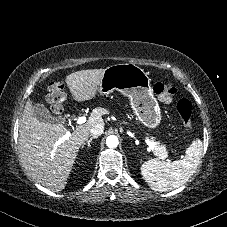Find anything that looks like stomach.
<instances>
[{"label":"stomach","instance_id":"stomach-1","mask_svg":"<svg viewBox=\"0 0 227 227\" xmlns=\"http://www.w3.org/2000/svg\"><path fill=\"white\" fill-rule=\"evenodd\" d=\"M148 73L133 63L107 67L101 78L99 93L108 95L114 90L129 97L138 120L148 128H156L161 122V110L153 95Z\"/></svg>","mask_w":227,"mask_h":227}]
</instances>
